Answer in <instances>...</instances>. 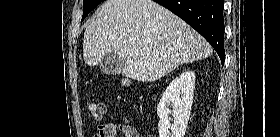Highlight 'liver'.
Listing matches in <instances>:
<instances>
[{"instance_id":"obj_1","label":"liver","mask_w":280,"mask_h":137,"mask_svg":"<svg viewBox=\"0 0 280 137\" xmlns=\"http://www.w3.org/2000/svg\"><path fill=\"white\" fill-rule=\"evenodd\" d=\"M108 53L126 60L122 75L152 82L212 54L187 23L152 0H107L84 32L83 57L97 65Z\"/></svg>"}]
</instances>
